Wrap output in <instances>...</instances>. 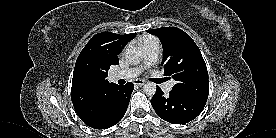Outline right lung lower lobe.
Returning a JSON list of instances; mask_svg holds the SVG:
<instances>
[{"label": "right lung lower lobe", "instance_id": "obj_1", "mask_svg": "<svg viewBox=\"0 0 276 138\" xmlns=\"http://www.w3.org/2000/svg\"><path fill=\"white\" fill-rule=\"evenodd\" d=\"M133 89L132 82L113 87L109 92V100L104 105V116L98 122L88 126L95 129H107L117 124L125 115Z\"/></svg>", "mask_w": 276, "mask_h": 138}]
</instances>
